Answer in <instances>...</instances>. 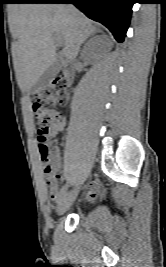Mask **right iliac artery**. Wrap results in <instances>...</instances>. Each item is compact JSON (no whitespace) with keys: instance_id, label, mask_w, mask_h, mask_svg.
I'll list each match as a JSON object with an SVG mask.
<instances>
[{"instance_id":"obj_1","label":"right iliac artery","mask_w":166,"mask_h":267,"mask_svg":"<svg viewBox=\"0 0 166 267\" xmlns=\"http://www.w3.org/2000/svg\"><path fill=\"white\" fill-rule=\"evenodd\" d=\"M67 188H68V185H64L59 194H58V198H57V202L59 203L61 201V199L66 195V192H67Z\"/></svg>"}]
</instances>
